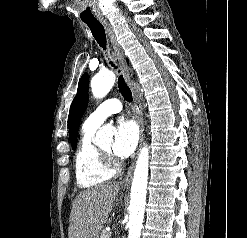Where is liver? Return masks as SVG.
Returning a JSON list of instances; mask_svg holds the SVG:
<instances>
[{
	"mask_svg": "<svg viewBox=\"0 0 247 238\" xmlns=\"http://www.w3.org/2000/svg\"><path fill=\"white\" fill-rule=\"evenodd\" d=\"M119 190L112 182L80 192L73 201L68 238H99Z\"/></svg>",
	"mask_w": 247,
	"mask_h": 238,
	"instance_id": "obj_1",
	"label": "liver"
}]
</instances>
